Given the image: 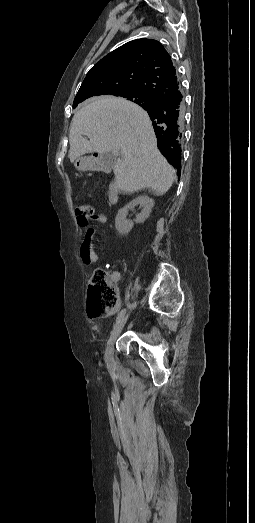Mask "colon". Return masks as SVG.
I'll return each instance as SVG.
<instances>
[{"label": "colon", "instance_id": "obj_1", "mask_svg": "<svg viewBox=\"0 0 255 523\" xmlns=\"http://www.w3.org/2000/svg\"><path fill=\"white\" fill-rule=\"evenodd\" d=\"M76 216L80 225H87L93 217V208L88 204L76 207ZM120 301L112 276L101 267L96 268L88 286V315L90 318L110 315L119 308Z\"/></svg>", "mask_w": 255, "mask_h": 523}]
</instances>
